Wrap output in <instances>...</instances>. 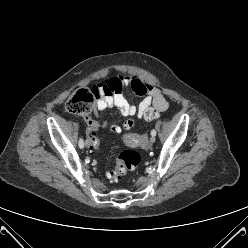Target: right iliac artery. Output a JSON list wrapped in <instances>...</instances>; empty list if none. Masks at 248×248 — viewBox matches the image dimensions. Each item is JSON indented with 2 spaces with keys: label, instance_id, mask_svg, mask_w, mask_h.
<instances>
[{
  "label": "right iliac artery",
  "instance_id": "1",
  "mask_svg": "<svg viewBox=\"0 0 248 248\" xmlns=\"http://www.w3.org/2000/svg\"><path fill=\"white\" fill-rule=\"evenodd\" d=\"M78 145H79L80 148L84 147V141H83L82 138H80Z\"/></svg>",
  "mask_w": 248,
  "mask_h": 248
}]
</instances>
